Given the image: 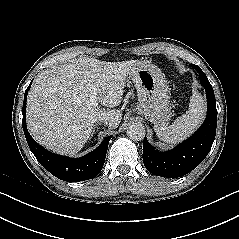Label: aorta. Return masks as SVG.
<instances>
[{"label": "aorta", "mask_w": 239, "mask_h": 239, "mask_svg": "<svg viewBox=\"0 0 239 239\" xmlns=\"http://www.w3.org/2000/svg\"><path fill=\"white\" fill-rule=\"evenodd\" d=\"M127 135L132 140H142L145 136V128L142 123H133L127 128Z\"/></svg>", "instance_id": "aorta-1"}]
</instances>
